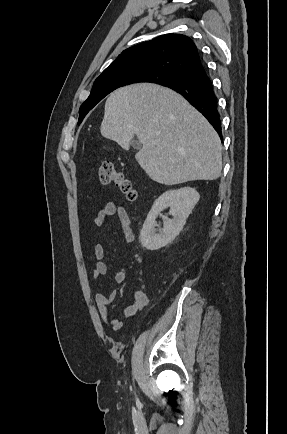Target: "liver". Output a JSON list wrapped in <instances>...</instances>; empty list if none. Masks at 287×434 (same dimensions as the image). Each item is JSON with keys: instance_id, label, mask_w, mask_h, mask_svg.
Instances as JSON below:
<instances>
[{"instance_id": "liver-1", "label": "liver", "mask_w": 287, "mask_h": 434, "mask_svg": "<svg viewBox=\"0 0 287 434\" xmlns=\"http://www.w3.org/2000/svg\"><path fill=\"white\" fill-rule=\"evenodd\" d=\"M103 137L128 149L142 144L135 159L160 184L215 180L222 170V144L205 117L181 95L154 84L112 92L101 123Z\"/></svg>"}]
</instances>
